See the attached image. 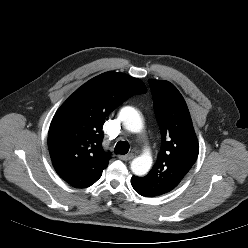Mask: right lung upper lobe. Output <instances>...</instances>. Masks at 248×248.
<instances>
[{
  "label": "right lung upper lobe",
  "mask_w": 248,
  "mask_h": 248,
  "mask_svg": "<svg viewBox=\"0 0 248 248\" xmlns=\"http://www.w3.org/2000/svg\"><path fill=\"white\" fill-rule=\"evenodd\" d=\"M146 92L137 78L100 74L77 89L59 108L48 133V148L58 175L75 188L94 184L107 168L102 147L105 118L123 101Z\"/></svg>",
  "instance_id": "1"
}]
</instances>
